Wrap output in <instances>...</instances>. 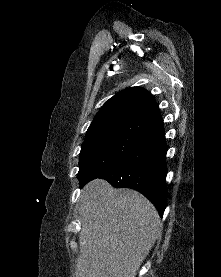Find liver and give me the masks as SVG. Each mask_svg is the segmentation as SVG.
Listing matches in <instances>:
<instances>
[{
	"label": "liver",
	"instance_id": "6515ba94",
	"mask_svg": "<svg viewBox=\"0 0 221 277\" xmlns=\"http://www.w3.org/2000/svg\"><path fill=\"white\" fill-rule=\"evenodd\" d=\"M76 277H135L161 234L154 205L131 189L96 179L81 191Z\"/></svg>",
	"mask_w": 221,
	"mask_h": 277
}]
</instances>
